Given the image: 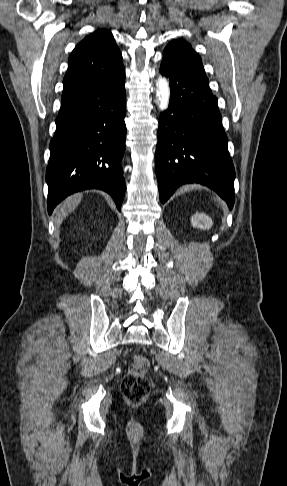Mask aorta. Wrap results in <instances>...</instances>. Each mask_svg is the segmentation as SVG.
Instances as JSON below:
<instances>
[{
  "instance_id": "1",
  "label": "aorta",
  "mask_w": 287,
  "mask_h": 486,
  "mask_svg": "<svg viewBox=\"0 0 287 486\" xmlns=\"http://www.w3.org/2000/svg\"><path fill=\"white\" fill-rule=\"evenodd\" d=\"M156 97L158 99V103L161 102L162 108L167 109L170 99V88L169 82L166 78L162 79L160 84H157Z\"/></svg>"
}]
</instances>
